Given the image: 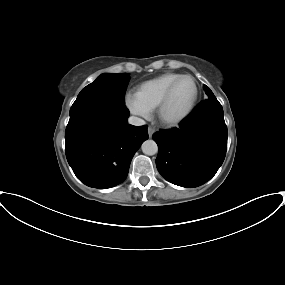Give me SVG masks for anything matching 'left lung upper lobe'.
Masks as SVG:
<instances>
[{
	"instance_id": "obj_1",
	"label": "left lung upper lobe",
	"mask_w": 285,
	"mask_h": 285,
	"mask_svg": "<svg viewBox=\"0 0 285 285\" xmlns=\"http://www.w3.org/2000/svg\"><path fill=\"white\" fill-rule=\"evenodd\" d=\"M204 89L208 95V98L215 97L213 92L206 85H204Z\"/></svg>"
}]
</instances>
